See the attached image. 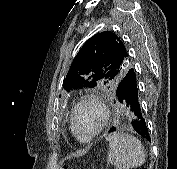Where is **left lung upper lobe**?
Here are the masks:
<instances>
[{
	"label": "left lung upper lobe",
	"instance_id": "obj_1",
	"mask_svg": "<svg viewBox=\"0 0 177 169\" xmlns=\"http://www.w3.org/2000/svg\"><path fill=\"white\" fill-rule=\"evenodd\" d=\"M130 68L122 40L110 31L95 34L77 53L66 78L65 90L106 86L116 90Z\"/></svg>",
	"mask_w": 177,
	"mask_h": 169
}]
</instances>
